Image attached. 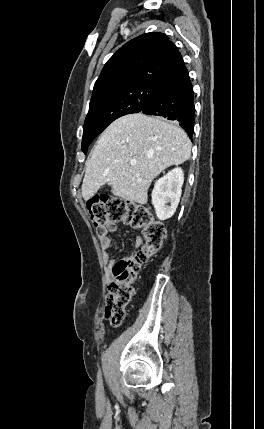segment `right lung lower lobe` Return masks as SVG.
<instances>
[{
  "label": "right lung lower lobe",
  "instance_id": "1",
  "mask_svg": "<svg viewBox=\"0 0 264 429\" xmlns=\"http://www.w3.org/2000/svg\"><path fill=\"white\" fill-rule=\"evenodd\" d=\"M140 112L176 120L192 138L195 113L194 93L184 62L157 86L156 91Z\"/></svg>",
  "mask_w": 264,
  "mask_h": 429
}]
</instances>
